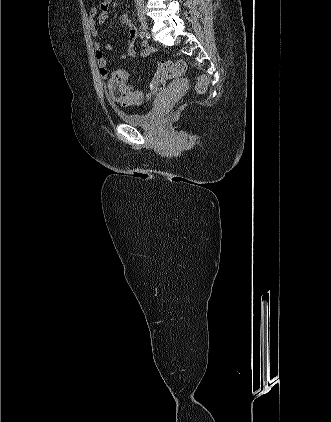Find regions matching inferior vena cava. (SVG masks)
Returning a JSON list of instances; mask_svg holds the SVG:
<instances>
[{
	"instance_id": "inferior-vena-cava-1",
	"label": "inferior vena cava",
	"mask_w": 331,
	"mask_h": 422,
	"mask_svg": "<svg viewBox=\"0 0 331 422\" xmlns=\"http://www.w3.org/2000/svg\"><path fill=\"white\" fill-rule=\"evenodd\" d=\"M135 4H136L137 11L142 10L143 5H144V0H135Z\"/></svg>"
}]
</instances>
